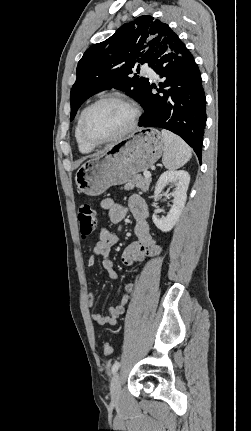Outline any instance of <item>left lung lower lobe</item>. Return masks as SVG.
Masks as SVG:
<instances>
[{
    "mask_svg": "<svg viewBox=\"0 0 251 431\" xmlns=\"http://www.w3.org/2000/svg\"><path fill=\"white\" fill-rule=\"evenodd\" d=\"M149 66L160 75L157 94L149 85L142 101L140 127H159L183 138L202 158L206 125V97L201 74L192 54L179 37L172 33L152 55Z\"/></svg>",
    "mask_w": 251,
    "mask_h": 431,
    "instance_id": "0a47b994",
    "label": "left lung lower lobe"
}]
</instances>
